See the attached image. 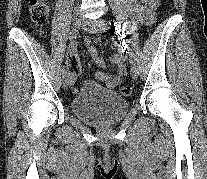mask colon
Segmentation results:
<instances>
[{"label": "colon", "mask_w": 207, "mask_h": 179, "mask_svg": "<svg viewBox=\"0 0 207 179\" xmlns=\"http://www.w3.org/2000/svg\"><path fill=\"white\" fill-rule=\"evenodd\" d=\"M30 17L32 22L40 29H43L49 18V5L46 0H30ZM68 69L71 74H76L79 68L74 63V57H71L68 62ZM121 94L128 96L132 89L130 86H124L120 90Z\"/></svg>", "instance_id": "5ec220e1"}]
</instances>
